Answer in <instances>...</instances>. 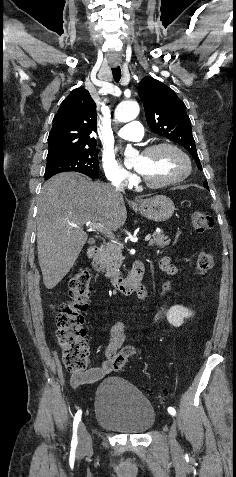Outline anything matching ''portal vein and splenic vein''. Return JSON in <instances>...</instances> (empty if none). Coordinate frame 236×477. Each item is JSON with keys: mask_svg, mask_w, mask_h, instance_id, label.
Listing matches in <instances>:
<instances>
[{"mask_svg": "<svg viewBox=\"0 0 236 477\" xmlns=\"http://www.w3.org/2000/svg\"><path fill=\"white\" fill-rule=\"evenodd\" d=\"M86 226L89 230H97L105 234L109 238H114V234L101 223H87ZM150 239H151L150 234L145 236V241H149Z\"/></svg>", "mask_w": 236, "mask_h": 477, "instance_id": "portal-vein-and-splenic-vein-1", "label": "portal vein and splenic vein"}]
</instances>
